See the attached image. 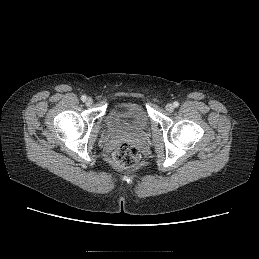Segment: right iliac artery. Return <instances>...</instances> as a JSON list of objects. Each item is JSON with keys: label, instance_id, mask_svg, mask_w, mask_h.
Returning <instances> with one entry per match:
<instances>
[{"label": "right iliac artery", "instance_id": "right-iliac-artery-1", "mask_svg": "<svg viewBox=\"0 0 259 259\" xmlns=\"http://www.w3.org/2000/svg\"><path fill=\"white\" fill-rule=\"evenodd\" d=\"M81 100H82V101H85V100H86V96H85V95H82V96H81Z\"/></svg>", "mask_w": 259, "mask_h": 259}]
</instances>
